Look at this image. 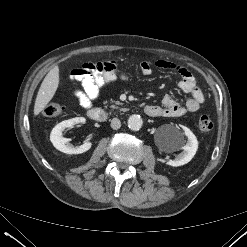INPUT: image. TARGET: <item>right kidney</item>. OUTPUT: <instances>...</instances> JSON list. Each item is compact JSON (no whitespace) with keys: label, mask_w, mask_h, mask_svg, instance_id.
<instances>
[{"label":"right kidney","mask_w":247,"mask_h":247,"mask_svg":"<svg viewBox=\"0 0 247 247\" xmlns=\"http://www.w3.org/2000/svg\"><path fill=\"white\" fill-rule=\"evenodd\" d=\"M79 123H85V118L76 117L65 120L57 124L52 129L50 134V141L57 150L66 154H81L91 148L92 143L90 141H85L82 145L74 147L72 144L69 143L70 139L62 136V132L66 128L72 127Z\"/></svg>","instance_id":"1"}]
</instances>
